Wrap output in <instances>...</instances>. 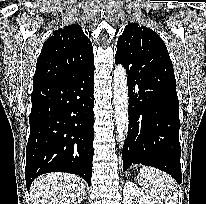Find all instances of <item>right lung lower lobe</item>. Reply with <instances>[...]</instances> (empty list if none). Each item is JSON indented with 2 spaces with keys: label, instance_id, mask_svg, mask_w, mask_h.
<instances>
[{
  "label": "right lung lower lobe",
  "instance_id": "98d812e1",
  "mask_svg": "<svg viewBox=\"0 0 206 204\" xmlns=\"http://www.w3.org/2000/svg\"><path fill=\"white\" fill-rule=\"evenodd\" d=\"M94 62L73 75L33 87L25 179L48 172L81 176L91 185Z\"/></svg>",
  "mask_w": 206,
  "mask_h": 204
}]
</instances>
